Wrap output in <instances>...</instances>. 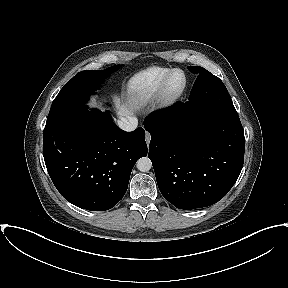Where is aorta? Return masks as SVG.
Segmentation results:
<instances>
[{"label":"aorta","mask_w":288,"mask_h":288,"mask_svg":"<svg viewBox=\"0 0 288 288\" xmlns=\"http://www.w3.org/2000/svg\"><path fill=\"white\" fill-rule=\"evenodd\" d=\"M137 169L141 172H148L152 167V162L148 157H141L136 163Z\"/></svg>","instance_id":"aorta-1"}]
</instances>
